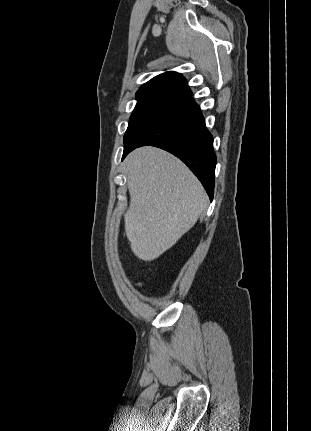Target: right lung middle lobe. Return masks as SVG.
I'll return each mask as SVG.
<instances>
[{
    "label": "right lung middle lobe",
    "mask_w": 311,
    "mask_h": 431,
    "mask_svg": "<svg viewBox=\"0 0 311 431\" xmlns=\"http://www.w3.org/2000/svg\"><path fill=\"white\" fill-rule=\"evenodd\" d=\"M136 99L137 104L131 114L128 128L124 135V147L145 124L181 98L173 94L147 90L138 91Z\"/></svg>",
    "instance_id": "dd1d6c3e"
}]
</instances>
